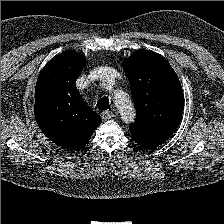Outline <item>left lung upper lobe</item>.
<instances>
[{
	"label": "left lung upper lobe",
	"mask_w": 224,
	"mask_h": 224,
	"mask_svg": "<svg viewBox=\"0 0 224 224\" xmlns=\"http://www.w3.org/2000/svg\"><path fill=\"white\" fill-rule=\"evenodd\" d=\"M137 116L130 131L139 132L157 145L165 142L178 127L184 95L180 81L160 54L138 50L124 60Z\"/></svg>",
	"instance_id": "left-lung-upper-lobe-1"
}]
</instances>
